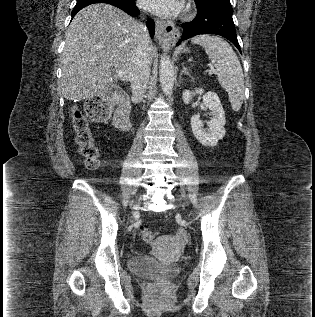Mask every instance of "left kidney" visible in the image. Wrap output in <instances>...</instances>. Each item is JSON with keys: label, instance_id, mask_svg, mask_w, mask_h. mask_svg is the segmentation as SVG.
Listing matches in <instances>:
<instances>
[{"label": "left kidney", "instance_id": "obj_1", "mask_svg": "<svg viewBox=\"0 0 315 317\" xmlns=\"http://www.w3.org/2000/svg\"><path fill=\"white\" fill-rule=\"evenodd\" d=\"M202 93H204L202 88L195 89V91L185 90L183 92V101L189 104L195 94ZM203 103L212 113V118L207 123L209 128L203 129V122L200 120L199 115H193L190 124L196 139L204 146L213 147L225 136V112L218 95L213 91L203 95Z\"/></svg>", "mask_w": 315, "mask_h": 317}]
</instances>
